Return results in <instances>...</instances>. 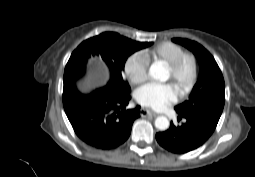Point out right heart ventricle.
<instances>
[{"label":"right heart ventricle","mask_w":255,"mask_h":177,"mask_svg":"<svg viewBox=\"0 0 255 177\" xmlns=\"http://www.w3.org/2000/svg\"><path fill=\"white\" fill-rule=\"evenodd\" d=\"M184 52V49L178 44L172 42H163L154 48L147 50L144 54L149 61L155 60L167 64L172 62Z\"/></svg>","instance_id":"e07e8e85"}]
</instances>
